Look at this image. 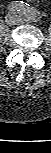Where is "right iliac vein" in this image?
<instances>
[{
	"label": "right iliac vein",
	"instance_id": "obj_1",
	"mask_svg": "<svg viewBox=\"0 0 51 153\" xmlns=\"http://www.w3.org/2000/svg\"><path fill=\"white\" fill-rule=\"evenodd\" d=\"M14 20H15V16L12 13L7 15V17H6L7 24H12L14 22Z\"/></svg>",
	"mask_w": 51,
	"mask_h": 153
}]
</instances>
